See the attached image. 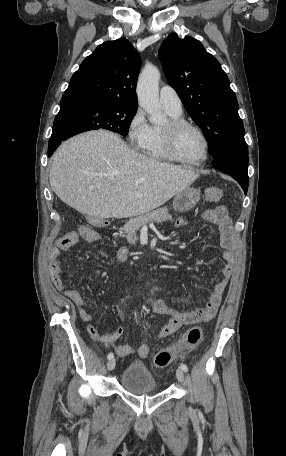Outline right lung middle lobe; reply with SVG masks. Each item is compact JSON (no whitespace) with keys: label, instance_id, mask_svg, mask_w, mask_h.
<instances>
[{"label":"right lung middle lobe","instance_id":"dd1d6c3e","mask_svg":"<svg viewBox=\"0 0 286 456\" xmlns=\"http://www.w3.org/2000/svg\"><path fill=\"white\" fill-rule=\"evenodd\" d=\"M136 111L135 106L120 105L93 97H77L71 104L58 135L66 140L78 133L101 128L125 137Z\"/></svg>","mask_w":286,"mask_h":456}]
</instances>
